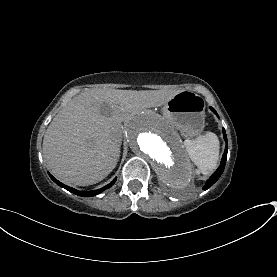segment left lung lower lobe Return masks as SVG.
Segmentation results:
<instances>
[{
	"label": "left lung lower lobe",
	"mask_w": 277,
	"mask_h": 277,
	"mask_svg": "<svg viewBox=\"0 0 277 277\" xmlns=\"http://www.w3.org/2000/svg\"><path fill=\"white\" fill-rule=\"evenodd\" d=\"M211 110L217 115L216 111L213 108H211ZM223 134H224V139L227 143V136H226V132H225L224 129H223ZM227 151H228V145L226 144L225 151H224L222 161H221V165L216 170V172L210 177V179L207 181V183L203 187L204 190L210 188L219 179V177L223 173L224 168H225V164H226Z\"/></svg>",
	"instance_id": "0a47b994"
}]
</instances>
